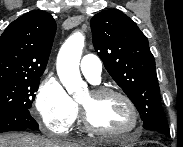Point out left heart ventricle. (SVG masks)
Wrapping results in <instances>:
<instances>
[{"label":"left heart ventricle","mask_w":183,"mask_h":147,"mask_svg":"<svg viewBox=\"0 0 183 147\" xmlns=\"http://www.w3.org/2000/svg\"><path fill=\"white\" fill-rule=\"evenodd\" d=\"M80 103L89 110L91 120L101 129L124 131L133 124L132 114L120 97L109 95L95 98L88 92Z\"/></svg>","instance_id":"obj_1"}]
</instances>
